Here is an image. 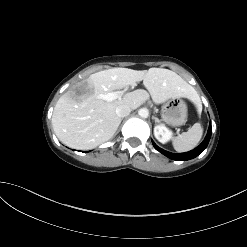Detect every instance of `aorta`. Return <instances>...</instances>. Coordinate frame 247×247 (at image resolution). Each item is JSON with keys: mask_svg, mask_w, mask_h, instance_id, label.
<instances>
[{"mask_svg": "<svg viewBox=\"0 0 247 247\" xmlns=\"http://www.w3.org/2000/svg\"><path fill=\"white\" fill-rule=\"evenodd\" d=\"M138 115L142 118H147L148 115H149V111L148 109L146 108H141L139 111H138Z\"/></svg>", "mask_w": 247, "mask_h": 247, "instance_id": "762f6f07", "label": "aorta"}]
</instances>
